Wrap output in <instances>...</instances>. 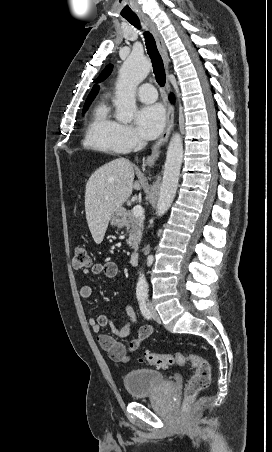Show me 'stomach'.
<instances>
[{
	"label": "stomach",
	"mask_w": 272,
	"mask_h": 452,
	"mask_svg": "<svg viewBox=\"0 0 272 452\" xmlns=\"http://www.w3.org/2000/svg\"><path fill=\"white\" fill-rule=\"evenodd\" d=\"M126 221V211L124 208L117 209L110 217L111 225L122 228Z\"/></svg>",
	"instance_id": "1"
}]
</instances>
